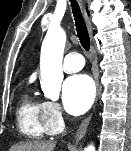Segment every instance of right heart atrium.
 Wrapping results in <instances>:
<instances>
[{"label":"right heart atrium","mask_w":131,"mask_h":151,"mask_svg":"<svg viewBox=\"0 0 131 151\" xmlns=\"http://www.w3.org/2000/svg\"><path fill=\"white\" fill-rule=\"evenodd\" d=\"M44 118L51 134L58 133L63 129L64 120L60 106L57 103L51 101L44 102Z\"/></svg>","instance_id":"right-heart-atrium-1"}]
</instances>
